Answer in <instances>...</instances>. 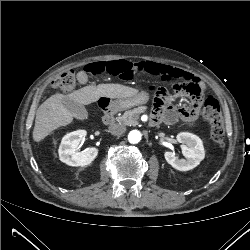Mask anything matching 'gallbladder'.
<instances>
[{
	"label": "gallbladder",
	"mask_w": 250,
	"mask_h": 250,
	"mask_svg": "<svg viewBox=\"0 0 250 250\" xmlns=\"http://www.w3.org/2000/svg\"><path fill=\"white\" fill-rule=\"evenodd\" d=\"M62 104L76 119H87L88 112L84 105L68 97L62 100Z\"/></svg>",
	"instance_id": "gallbladder-1"
}]
</instances>
